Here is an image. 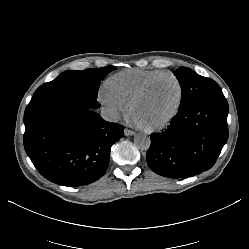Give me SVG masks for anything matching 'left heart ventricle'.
Returning a JSON list of instances; mask_svg holds the SVG:
<instances>
[{"label":"left heart ventricle","mask_w":249,"mask_h":249,"mask_svg":"<svg viewBox=\"0 0 249 249\" xmlns=\"http://www.w3.org/2000/svg\"><path fill=\"white\" fill-rule=\"evenodd\" d=\"M178 99L177 82L171 77H163L135 105L132 114L143 126H151L166 119L175 109Z\"/></svg>","instance_id":"obj_1"}]
</instances>
